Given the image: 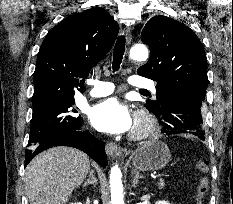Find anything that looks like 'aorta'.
Returning a JSON list of instances; mask_svg holds the SVG:
<instances>
[{"label":"aorta","instance_id":"762f6f07","mask_svg":"<svg viewBox=\"0 0 233 204\" xmlns=\"http://www.w3.org/2000/svg\"><path fill=\"white\" fill-rule=\"evenodd\" d=\"M130 58L136 61H145L148 58V49L144 44H136L130 49ZM122 173L118 165L111 168L110 189L111 204H124Z\"/></svg>","mask_w":233,"mask_h":204}]
</instances>
